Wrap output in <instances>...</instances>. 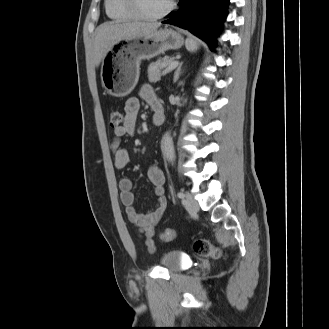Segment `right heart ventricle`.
<instances>
[{
  "instance_id": "obj_1",
  "label": "right heart ventricle",
  "mask_w": 329,
  "mask_h": 329,
  "mask_svg": "<svg viewBox=\"0 0 329 329\" xmlns=\"http://www.w3.org/2000/svg\"><path fill=\"white\" fill-rule=\"evenodd\" d=\"M105 11L109 18L116 21L134 19V16L125 7L123 0H105Z\"/></svg>"
}]
</instances>
